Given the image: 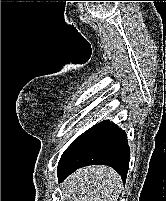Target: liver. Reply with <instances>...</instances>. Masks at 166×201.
I'll return each instance as SVG.
<instances>
[{
  "label": "liver",
  "instance_id": "6515ba94",
  "mask_svg": "<svg viewBox=\"0 0 166 201\" xmlns=\"http://www.w3.org/2000/svg\"><path fill=\"white\" fill-rule=\"evenodd\" d=\"M122 180L111 167L87 166L72 173L61 184L64 201H117Z\"/></svg>",
  "mask_w": 166,
  "mask_h": 201
}]
</instances>
